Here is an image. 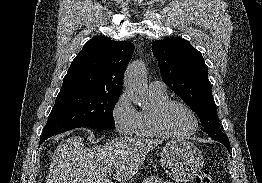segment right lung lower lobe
I'll return each instance as SVG.
<instances>
[{
	"instance_id": "1",
	"label": "right lung lower lobe",
	"mask_w": 262,
	"mask_h": 183,
	"mask_svg": "<svg viewBox=\"0 0 262 183\" xmlns=\"http://www.w3.org/2000/svg\"><path fill=\"white\" fill-rule=\"evenodd\" d=\"M50 136H41L40 138V144L45 141L47 138H49Z\"/></svg>"
}]
</instances>
